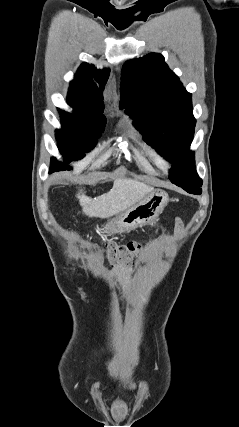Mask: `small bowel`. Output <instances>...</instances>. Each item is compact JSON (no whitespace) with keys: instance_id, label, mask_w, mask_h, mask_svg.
I'll use <instances>...</instances> for the list:
<instances>
[{"instance_id":"1","label":"small bowel","mask_w":239,"mask_h":427,"mask_svg":"<svg viewBox=\"0 0 239 427\" xmlns=\"http://www.w3.org/2000/svg\"><path fill=\"white\" fill-rule=\"evenodd\" d=\"M179 224V222H178ZM132 268H127L124 266H119L115 269V273L121 278V279H127L129 275L132 273Z\"/></svg>"}]
</instances>
